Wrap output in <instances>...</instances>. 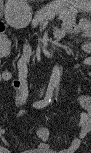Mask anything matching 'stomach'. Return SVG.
<instances>
[{
  "mask_svg": "<svg viewBox=\"0 0 91 153\" xmlns=\"http://www.w3.org/2000/svg\"><path fill=\"white\" fill-rule=\"evenodd\" d=\"M69 2L75 9H82L83 7H89L90 5L89 0H70Z\"/></svg>",
  "mask_w": 91,
  "mask_h": 153,
  "instance_id": "stomach-1",
  "label": "stomach"
}]
</instances>
